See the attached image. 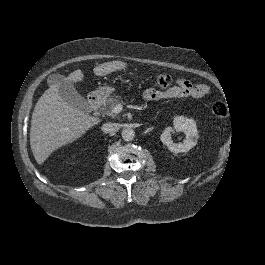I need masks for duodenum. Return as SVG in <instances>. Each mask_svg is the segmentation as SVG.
<instances>
[{
	"mask_svg": "<svg viewBox=\"0 0 265 265\" xmlns=\"http://www.w3.org/2000/svg\"><path fill=\"white\" fill-rule=\"evenodd\" d=\"M103 102V96L99 93H93L88 97V103L92 110L96 111Z\"/></svg>",
	"mask_w": 265,
	"mask_h": 265,
	"instance_id": "duodenum-1",
	"label": "duodenum"
}]
</instances>
